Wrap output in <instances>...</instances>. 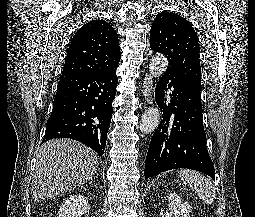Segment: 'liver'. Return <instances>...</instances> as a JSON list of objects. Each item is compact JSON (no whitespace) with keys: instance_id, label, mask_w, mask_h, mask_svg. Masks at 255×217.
I'll return each instance as SVG.
<instances>
[{"instance_id":"6515ba94","label":"liver","mask_w":255,"mask_h":217,"mask_svg":"<svg viewBox=\"0 0 255 217\" xmlns=\"http://www.w3.org/2000/svg\"><path fill=\"white\" fill-rule=\"evenodd\" d=\"M97 154L71 139H52L36 154L32 197L36 202L82 186L96 173Z\"/></svg>"}]
</instances>
